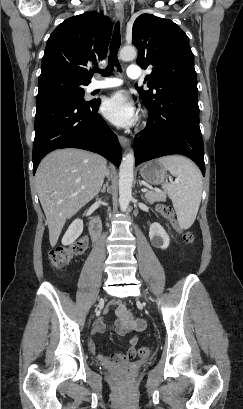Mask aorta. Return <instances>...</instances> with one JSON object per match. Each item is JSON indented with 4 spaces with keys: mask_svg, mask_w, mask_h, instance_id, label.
Wrapping results in <instances>:
<instances>
[{
    "mask_svg": "<svg viewBox=\"0 0 243 409\" xmlns=\"http://www.w3.org/2000/svg\"><path fill=\"white\" fill-rule=\"evenodd\" d=\"M137 56V51L132 46H125L120 51V59L131 61ZM134 153L130 150L122 158L119 169V205L121 211H126L132 198V182L134 173Z\"/></svg>",
    "mask_w": 243,
    "mask_h": 409,
    "instance_id": "aorta-1",
    "label": "aorta"
}]
</instances>
